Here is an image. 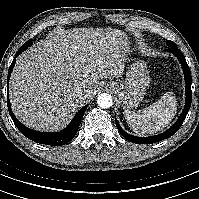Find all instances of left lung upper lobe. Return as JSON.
I'll return each mask as SVG.
<instances>
[{
  "label": "left lung upper lobe",
  "instance_id": "obj_1",
  "mask_svg": "<svg viewBox=\"0 0 199 199\" xmlns=\"http://www.w3.org/2000/svg\"><path fill=\"white\" fill-rule=\"evenodd\" d=\"M175 44L172 41H168V46H174Z\"/></svg>",
  "mask_w": 199,
  "mask_h": 199
}]
</instances>
